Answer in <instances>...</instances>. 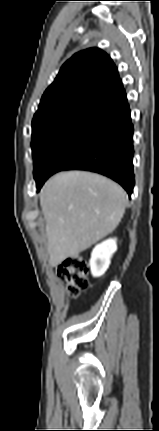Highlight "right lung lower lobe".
Wrapping results in <instances>:
<instances>
[{"mask_svg": "<svg viewBox=\"0 0 159 431\" xmlns=\"http://www.w3.org/2000/svg\"><path fill=\"white\" fill-rule=\"evenodd\" d=\"M133 132L127 100L70 131L53 148L36 180L44 182L61 170H87L118 182L131 196L134 187Z\"/></svg>", "mask_w": 159, "mask_h": 431, "instance_id": "1", "label": "right lung lower lobe"}]
</instances>
